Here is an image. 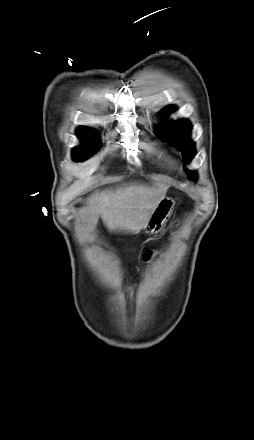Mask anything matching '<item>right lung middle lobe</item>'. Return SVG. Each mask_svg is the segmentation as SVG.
I'll list each match as a JSON object with an SVG mask.
<instances>
[{"label": "right lung middle lobe", "mask_w": 254, "mask_h": 440, "mask_svg": "<svg viewBox=\"0 0 254 440\" xmlns=\"http://www.w3.org/2000/svg\"><path fill=\"white\" fill-rule=\"evenodd\" d=\"M78 136L84 140L86 143L89 141V143L76 147L73 150V156L76 161H83L91 156V154L94 152V146L93 139H94V132L92 131H86V130H79Z\"/></svg>", "instance_id": "1"}]
</instances>
